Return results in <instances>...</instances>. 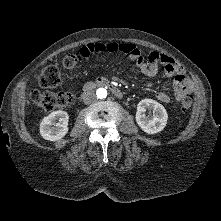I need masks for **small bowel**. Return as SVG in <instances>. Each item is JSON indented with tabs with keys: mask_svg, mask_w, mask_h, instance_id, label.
<instances>
[{
	"mask_svg": "<svg viewBox=\"0 0 221 221\" xmlns=\"http://www.w3.org/2000/svg\"><path fill=\"white\" fill-rule=\"evenodd\" d=\"M101 53H123L142 74L149 77L158 73L160 64L164 65L166 78L174 80V98L172 99L165 91H158L156 97L163 103H170L172 100L179 102L192 97L193 88L190 79L182 67L166 54L153 51L148 56H144L136 45L127 42H90L80 48V55L83 58Z\"/></svg>",
	"mask_w": 221,
	"mask_h": 221,
	"instance_id": "small-bowel-1",
	"label": "small bowel"
}]
</instances>
